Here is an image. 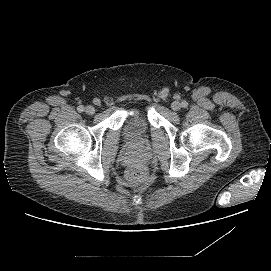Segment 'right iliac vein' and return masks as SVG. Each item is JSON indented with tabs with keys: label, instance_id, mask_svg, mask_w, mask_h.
I'll list each match as a JSON object with an SVG mask.
<instances>
[{
	"label": "right iliac vein",
	"instance_id": "right-iliac-vein-1",
	"mask_svg": "<svg viewBox=\"0 0 271 271\" xmlns=\"http://www.w3.org/2000/svg\"><path fill=\"white\" fill-rule=\"evenodd\" d=\"M85 112L88 114V115H93L95 113V108L93 106H87L85 108Z\"/></svg>",
	"mask_w": 271,
	"mask_h": 271
}]
</instances>
